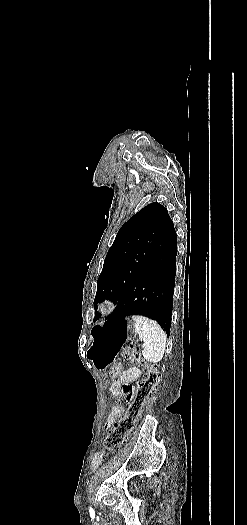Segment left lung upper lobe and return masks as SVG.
I'll return each instance as SVG.
<instances>
[{"instance_id":"left-lung-upper-lobe-1","label":"left lung upper lobe","mask_w":247,"mask_h":525,"mask_svg":"<svg viewBox=\"0 0 247 525\" xmlns=\"http://www.w3.org/2000/svg\"><path fill=\"white\" fill-rule=\"evenodd\" d=\"M172 222L167 210L151 203L132 216L119 229L97 281L94 304L104 299L120 301L142 272L153 248ZM98 319L96 313L94 321Z\"/></svg>"}]
</instances>
